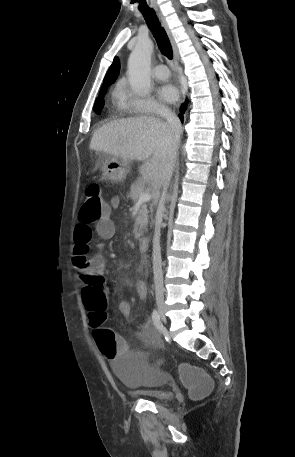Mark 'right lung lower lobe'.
Returning a JSON list of instances; mask_svg holds the SVG:
<instances>
[{
    "label": "right lung lower lobe",
    "mask_w": 295,
    "mask_h": 457,
    "mask_svg": "<svg viewBox=\"0 0 295 457\" xmlns=\"http://www.w3.org/2000/svg\"><path fill=\"white\" fill-rule=\"evenodd\" d=\"M186 107H187V100H186V103L182 104L181 106V113H184V111L186 110ZM180 119L183 120V116L182 114L179 115Z\"/></svg>",
    "instance_id": "98d812e1"
}]
</instances>
